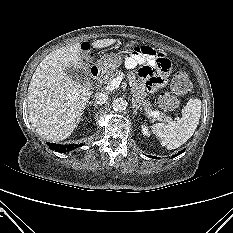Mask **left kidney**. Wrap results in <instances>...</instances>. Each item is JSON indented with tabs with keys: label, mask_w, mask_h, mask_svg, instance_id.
I'll list each match as a JSON object with an SVG mask.
<instances>
[{
	"label": "left kidney",
	"mask_w": 233,
	"mask_h": 233,
	"mask_svg": "<svg viewBox=\"0 0 233 233\" xmlns=\"http://www.w3.org/2000/svg\"><path fill=\"white\" fill-rule=\"evenodd\" d=\"M142 133H143V135H145V136H150V132H149V129H148V126H146V125H142Z\"/></svg>",
	"instance_id": "obj_1"
}]
</instances>
